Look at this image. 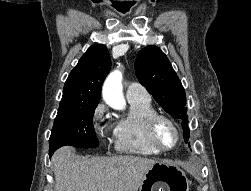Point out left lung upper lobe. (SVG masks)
Masks as SVG:
<instances>
[{"label":"left lung upper lobe","mask_w":251,"mask_h":191,"mask_svg":"<svg viewBox=\"0 0 251 191\" xmlns=\"http://www.w3.org/2000/svg\"><path fill=\"white\" fill-rule=\"evenodd\" d=\"M139 82L170 115L182 120L183 136L189 140L185 90L167 56L156 46L143 48L135 61Z\"/></svg>","instance_id":"left-lung-upper-lobe-1"}]
</instances>
